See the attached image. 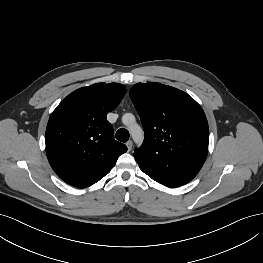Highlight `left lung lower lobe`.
<instances>
[{
	"mask_svg": "<svg viewBox=\"0 0 263 263\" xmlns=\"http://www.w3.org/2000/svg\"><path fill=\"white\" fill-rule=\"evenodd\" d=\"M140 169L156 182L167 187H179L190 182L197 173L174 163H164L157 168H147L138 163Z\"/></svg>",
	"mask_w": 263,
	"mask_h": 263,
	"instance_id": "0a47b994",
	"label": "left lung lower lobe"
}]
</instances>
